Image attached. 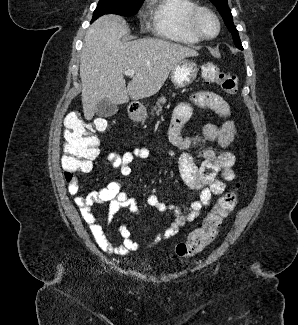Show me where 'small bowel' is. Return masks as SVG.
I'll return each instance as SVG.
<instances>
[{
  "mask_svg": "<svg viewBox=\"0 0 298 325\" xmlns=\"http://www.w3.org/2000/svg\"><path fill=\"white\" fill-rule=\"evenodd\" d=\"M192 101L201 108L212 110L224 118V122L220 126L206 124L199 138L185 137L181 131L191 117L192 108L188 103H181L175 108L168 130V138L174 147L183 151L178 158L181 178L188 188L199 192V198L189 206L182 207L160 201L153 191L148 196V204L159 212H173L175 219L165 231L144 245L148 249L155 248L162 241L176 235L181 227L194 221L200 215L202 208L209 205L214 196L222 194L227 183L235 178L233 170L235 156L227 150L236 134L235 124L230 118V105L220 95L210 91L194 93ZM195 142H216L221 149L218 152L213 149H206L198 165L192 155L187 152ZM168 154L174 156L175 152L171 150ZM149 157L150 150L148 148L137 147L124 153L111 152L106 155L105 161L120 175L126 177L132 174L130 166L132 162L136 159L145 160ZM68 191L74 196V202L79 208L82 218L89 225L90 231L102 251L109 254L125 255L140 247L132 239L129 229L125 226H121L119 229L123 239L122 243L111 244L106 237L99 216L92 209L95 204L108 203V221L112 220L122 208H127L135 215L138 214V205L129 193L123 191L121 180H113L104 188L92 191L87 195L79 194L78 181L74 180L68 183Z\"/></svg>",
  "mask_w": 298,
  "mask_h": 325,
  "instance_id": "small-bowel-1",
  "label": "small bowel"
}]
</instances>
